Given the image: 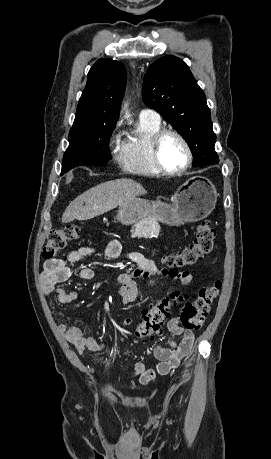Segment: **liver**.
Listing matches in <instances>:
<instances>
[{
	"label": "liver",
	"mask_w": 271,
	"mask_h": 459,
	"mask_svg": "<svg viewBox=\"0 0 271 459\" xmlns=\"http://www.w3.org/2000/svg\"><path fill=\"white\" fill-rule=\"evenodd\" d=\"M147 194L145 188L141 184H137L134 180H113V182H104L91 190H87L76 200H73L66 208L63 216V224L73 222V220H90L95 216H101L109 210H114L121 204H126L129 200H134L136 196ZM85 202V206H83Z\"/></svg>",
	"instance_id": "liver-1"
}]
</instances>
